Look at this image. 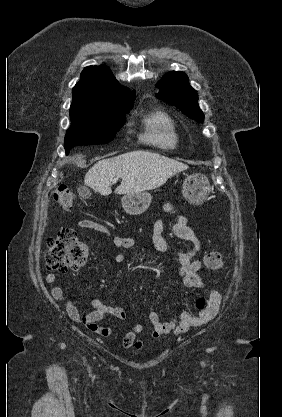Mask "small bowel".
<instances>
[{
	"mask_svg": "<svg viewBox=\"0 0 282 417\" xmlns=\"http://www.w3.org/2000/svg\"><path fill=\"white\" fill-rule=\"evenodd\" d=\"M164 210L175 214V222L172 225L173 234L179 239L188 241L192 247L189 250L171 248L164 235L165 223L162 219L154 222L150 230L151 241L157 252L170 258L177 266L182 284L185 289H202L205 281L199 275L205 261L195 257L201 249V241L196 236L193 229L188 224V217L178 213L175 206L169 202L164 204ZM80 229H90L104 234H108V228L101 223L90 219H82L76 223ZM109 243L113 248L119 250L114 259L116 262H123L125 255L121 251L130 250L135 246V239L127 236L108 237ZM46 282L51 287V296L65 304L66 312L71 320L84 325L88 330L95 332L103 337L112 335V329L107 326H99V321L111 315L119 320L126 318V312L120 307L108 306L101 298L96 297L92 300L93 310L80 312L75 303L65 296L64 290L56 284L57 277L53 273L46 276ZM222 303V295L218 291H212L206 308L199 314L194 315L187 311H180L176 318L163 320L157 311L152 310L148 314L152 326V337L154 339L165 338L170 335H180L193 327H200L209 323L218 313ZM143 331L142 324H134L131 330L124 336L122 347L138 351L142 348L143 342L138 338V334Z\"/></svg>",
	"mask_w": 282,
	"mask_h": 417,
	"instance_id": "1",
	"label": "small bowel"
}]
</instances>
